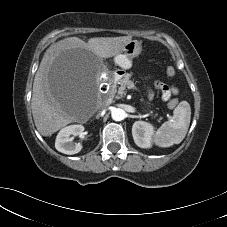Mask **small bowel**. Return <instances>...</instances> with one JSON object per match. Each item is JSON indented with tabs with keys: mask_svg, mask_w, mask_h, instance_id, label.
Wrapping results in <instances>:
<instances>
[{
	"mask_svg": "<svg viewBox=\"0 0 227 227\" xmlns=\"http://www.w3.org/2000/svg\"><path fill=\"white\" fill-rule=\"evenodd\" d=\"M156 88L161 92L163 100H168L173 94L177 93V89L175 87H169L162 83H156ZM149 96H152V93L149 92Z\"/></svg>",
	"mask_w": 227,
	"mask_h": 227,
	"instance_id": "obj_1",
	"label": "small bowel"
}]
</instances>
